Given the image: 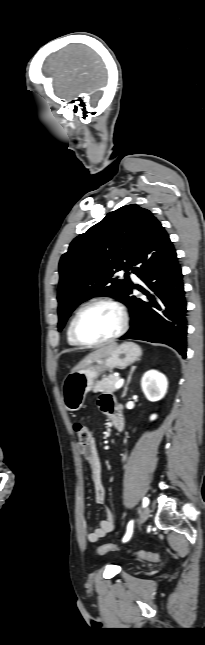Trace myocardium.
Instances as JSON below:
<instances>
[{"instance_id":"myocardium-1","label":"myocardium","mask_w":205,"mask_h":645,"mask_svg":"<svg viewBox=\"0 0 205 645\" xmlns=\"http://www.w3.org/2000/svg\"><path fill=\"white\" fill-rule=\"evenodd\" d=\"M94 305H108L113 307L119 314L120 316V325L118 330L111 336L100 340V341H94V342H89L83 340L78 332H77V321L80 316V314L87 309L88 307L94 306ZM129 324V316L126 308L124 307L123 304H121L119 301L111 298V297H98V298H93L87 302H85L83 305H81L75 312L71 324H70V331L73 339L78 345L84 346V347H99L105 344H108L112 341H115L119 337H121L127 330Z\"/></svg>"}]
</instances>
